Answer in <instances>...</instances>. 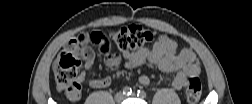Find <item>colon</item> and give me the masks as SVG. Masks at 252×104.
Returning <instances> with one entry per match:
<instances>
[{"instance_id": "1", "label": "colon", "mask_w": 252, "mask_h": 104, "mask_svg": "<svg viewBox=\"0 0 252 104\" xmlns=\"http://www.w3.org/2000/svg\"><path fill=\"white\" fill-rule=\"evenodd\" d=\"M152 39V33L138 24L123 26L110 32L109 36L100 30L82 32L70 40L56 58L53 70L58 90L68 97L75 98L82 89V61L94 57V48L106 55L112 44L122 51L141 48ZM201 96V82L198 78H190L186 86V99L196 103Z\"/></svg>"}]
</instances>
